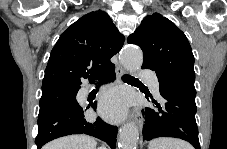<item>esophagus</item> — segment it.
<instances>
[{"label": "esophagus", "instance_id": "34e87169", "mask_svg": "<svg viewBox=\"0 0 227 149\" xmlns=\"http://www.w3.org/2000/svg\"><path fill=\"white\" fill-rule=\"evenodd\" d=\"M125 73V70L123 69V67L118 64L116 66V76L118 79L121 78V76ZM125 118L126 119H134L135 122L137 123L138 127L140 128V130H142V127H143V123H144V120H143V117L141 116V114L139 112H134V111H131L130 114H126L125 115Z\"/></svg>", "mask_w": 227, "mask_h": 149}]
</instances>
